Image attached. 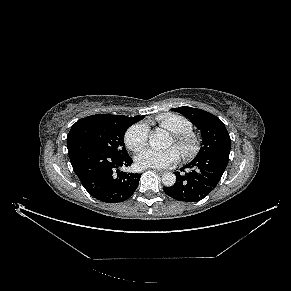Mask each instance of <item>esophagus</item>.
I'll list each match as a JSON object with an SVG mask.
<instances>
[{
	"label": "esophagus",
	"instance_id": "34e87169",
	"mask_svg": "<svg viewBox=\"0 0 291 291\" xmlns=\"http://www.w3.org/2000/svg\"><path fill=\"white\" fill-rule=\"evenodd\" d=\"M154 172L158 173V174H163L164 171L163 170H157V169H152Z\"/></svg>",
	"mask_w": 291,
	"mask_h": 291
}]
</instances>
